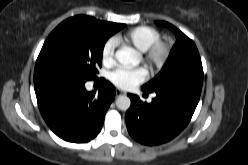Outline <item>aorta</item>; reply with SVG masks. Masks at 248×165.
I'll use <instances>...</instances> for the list:
<instances>
[{"label": "aorta", "instance_id": "762f6f07", "mask_svg": "<svg viewBox=\"0 0 248 165\" xmlns=\"http://www.w3.org/2000/svg\"><path fill=\"white\" fill-rule=\"evenodd\" d=\"M115 57L117 61L123 65H138L139 64V56L137 53L131 50L119 49L117 50ZM131 105L130 98L126 95H120L116 99V106L118 109L126 111L129 109Z\"/></svg>", "mask_w": 248, "mask_h": 165}]
</instances>
